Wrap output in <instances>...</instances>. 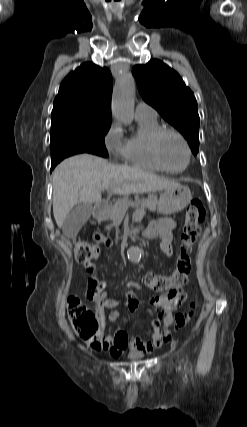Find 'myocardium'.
Segmentation results:
<instances>
[{"label": "myocardium", "instance_id": "f54148a6", "mask_svg": "<svg viewBox=\"0 0 247 427\" xmlns=\"http://www.w3.org/2000/svg\"><path fill=\"white\" fill-rule=\"evenodd\" d=\"M166 134H173L176 137H178L180 139V141L183 143V145H184V147L186 149L187 161H186V164L184 165V167L181 168V169H178V170L171 169L170 167H168L164 163V161H163V159L161 157V154H160V142H161V139L163 138V136L166 135ZM151 152H152L153 158L155 159L156 163L164 171H167V172H170V173H181V172L185 171L187 169V167L189 166V164H190L191 156H192L190 145H189L187 139L185 138V136L180 131H178L177 129L172 128V127H161L160 129H158L154 133V135H153V137L151 139Z\"/></svg>", "mask_w": 247, "mask_h": 427}]
</instances>
